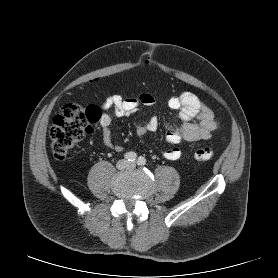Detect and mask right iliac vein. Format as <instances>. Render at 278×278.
<instances>
[{
	"label": "right iliac vein",
	"mask_w": 278,
	"mask_h": 278,
	"mask_svg": "<svg viewBox=\"0 0 278 278\" xmlns=\"http://www.w3.org/2000/svg\"><path fill=\"white\" fill-rule=\"evenodd\" d=\"M116 166L119 170H123L128 166V164L125 160H120V161L117 162Z\"/></svg>",
	"instance_id": "63e3f726"
}]
</instances>
